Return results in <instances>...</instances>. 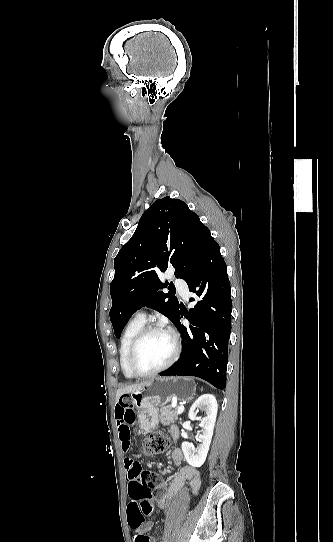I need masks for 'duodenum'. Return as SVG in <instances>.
Instances as JSON below:
<instances>
[{
  "label": "duodenum",
  "mask_w": 333,
  "mask_h": 542,
  "mask_svg": "<svg viewBox=\"0 0 333 542\" xmlns=\"http://www.w3.org/2000/svg\"><path fill=\"white\" fill-rule=\"evenodd\" d=\"M178 436L177 435H174L173 438L176 439Z\"/></svg>",
  "instance_id": "obj_1"
}]
</instances>
